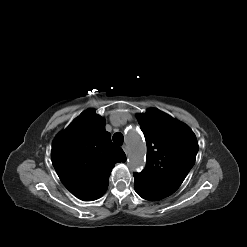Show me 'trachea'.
Returning <instances> with one entry per match:
<instances>
[{"label": "trachea", "mask_w": 247, "mask_h": 247, "mask_svg": "<svg viewBox=\"0 0 247 247\" xmlns=\"http://www.w3.org/2000/svg\"><path fill=\"white\" fill-rule=\"evenodd\" d=\"M124 141V137L121 133H115L113 135V142L118 144V145H122Z\"/></svg>", "instance_id": "3493384b"}]
</instances>
